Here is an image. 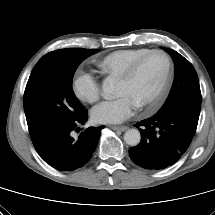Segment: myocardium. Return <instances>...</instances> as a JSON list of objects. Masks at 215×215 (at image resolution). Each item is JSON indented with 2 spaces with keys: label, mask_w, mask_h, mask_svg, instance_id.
Wrapping results in <instances>:
<instances>
[{
  "label": "myocardium",
  "mask_w": 215,
  "mask_h": 215,
  "mask_svg": "<svg viewBox=\"0 0 215 215\" xmlns=\"http://www.w3.org/2000/svg\"><path fill=\"white\" fill-rule=\"evenodd\" d=\"M153 54H161L165 57L166 62H167L165 76H164V79H163L160 87L155 92V94L148 101L139 104L138 105L139 108L154 107L158 103V101L160 100L162 95L164 94V92L169 84L171 74H172L173 62H172L171 56L162 49L148 50L144 54L137 57L134 61H132L129 64V66L124 70V72L118 77V79L121 81H127V80L131 79L132 76L135 74L136 70L138 69V67L140 66V64L143 62V60Z\"/></svg>",
  "instance_id": "myocardium-1"
}]
</instances>
